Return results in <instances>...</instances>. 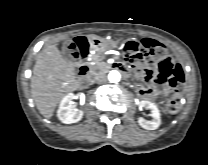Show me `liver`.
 <instances>
[{
  "label": "liver",
  "instance_id": "1",
  "mask_svg": "<svg viewBox=\"0 0 208 165\" xmlns=\"http://www.w3.org/2000/svg\"><path fill=\"white\" fill-rule=\"evenodd\" d=\"M79 87L73 65L63 59L57 46L42 49L31 77V93L40 114L51 118L64 96Z\"/></svg>",
  "mask_w": 208,
  "mask_h": 165
}]
</instances>
